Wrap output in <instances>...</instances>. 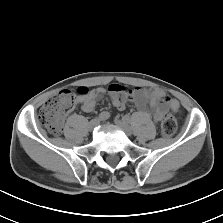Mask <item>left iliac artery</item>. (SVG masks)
<instances>
[{"label":"left iliac artery","mask_w":223,"mask_h":223,"mask_svg":"<svg viewBox=\"0 0 223 223\" xmlns=\"http://www.w3.org/2000/svg\"><path fill=\"white\" fill-rule=\"evenodd\" d=\"M123 120L128 121L129 123L131 122L130 117H128V116H124Z\"/></svg>","instance_id":"1"}]
</instances>
